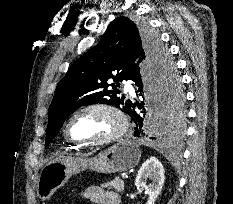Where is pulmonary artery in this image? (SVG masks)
<instances>
[{
  "mask_svg": "<svg viewBox=\"0 0 233 204\" xmlns=\"http://www.w3.org/2000/svg\"><path fill=\"white\" fill-rule=\"evenodd\" d=\"M124 88L126 91L133 92V87L131 86L130 82H125Z\"/></svg>",
  "mask_w": 233,
  "mask_h": 204,
  "instance_id": "e3ab8cb5",
  "label": "pulmonary artery"
}]
</instances>
